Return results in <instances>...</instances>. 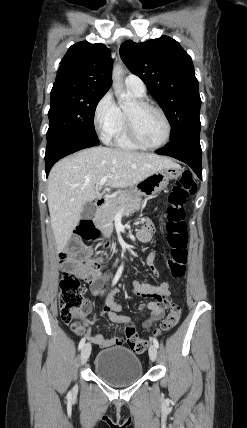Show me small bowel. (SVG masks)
I'll list each match as a JSON object with an SVG mask.
<instances>
[{"mask_svg":"<svg viewBox=\"0 0 247 428\" xmlns=\"http://www.w3.org/2000/svg\"><path fill=\"white\" fill-rule=\"evenodd\" d=\"M137 238L141 242L149 241L150 239L149 228L145 227L140 229L137 232ZM155 257H156V252L152 251L149 253L146 259L147 267L154 271H155V268H154ZM75 270L81 278L86 280V273L83 265H76ZM105 281H107V277L99 273L98 279L96 281L89 282L92 294L96 296H101L104 298L105 310L107 311L111 321L116 323H121V324L132 325L131 319L128 316H123L118 314L122 310V306L121 304L117 303L113 298V296L118 292V289L117 288L111 289L109 294L102 293L101 290ZM134 293L138 297L150 298L152 299V301H155L156 298H164L165 301H170L171 287H170V284L166 281L160 283L158 286H151L146 283L136 282ZM146 307L150 310V307H148L147 304H146ZM90 311H91V306L90 304L87 303L85 315L88 314ZM146 323H147L146 327H149L148 322ZM86 325H87V320L83 318L81 323L71 326V328L76 334L81 335L85 332ZM89 339L93 343L99 345L102 348L109 347L114 343L113 340L105 339L100 334L89 335Z\"/></svg>","mask_w":247,"mask_h":428,"instance_id":"obj_1","label":"small bowel"}]
</instances>
